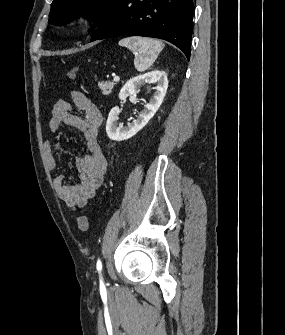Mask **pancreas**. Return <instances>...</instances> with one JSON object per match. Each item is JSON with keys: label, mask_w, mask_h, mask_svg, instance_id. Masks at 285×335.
Instances as JSON below:
<instances>
[{"label": "pancreas", "mask_w": 285, "mask_h": 335, "mask_svg": "<svg viewBox=\"0 0 285 335\" xmlns=\"http://www.w3.org/2000/svg\"><path fill=\"white\" fill-rule=\"evenodd\" d=\"M100 90H102V94H104V96H109V94H111L115 84L114 82H99L98 84Z\"/></svg>", "instance_id": "cf45deb5"}]
</instances>
